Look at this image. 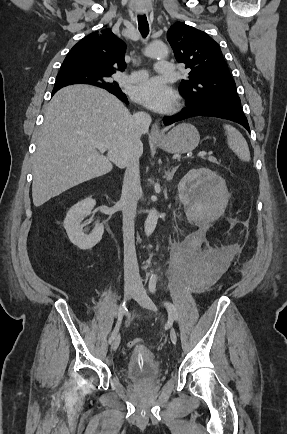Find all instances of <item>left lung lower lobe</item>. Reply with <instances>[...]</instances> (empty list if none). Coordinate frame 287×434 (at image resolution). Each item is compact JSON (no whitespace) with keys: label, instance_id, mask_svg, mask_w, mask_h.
Here are the masks:
<instances>
[{"label":"left lung lower lobe","instance_id":"0a47b994","mask_svg":"<svg viewBox=\"0 0 287 434\" xmlns=\"http://www.w3.org/2000/svg\"><path fill=\"white\" fill-rule=\"evenodd\" d=\"M195 116H211L232 120L241 124L250 132L249 124L242 111L240 102L186 103V107L180 113L164 117L163 122L165 125H170L174 122Z\"/></svg>","mask_w":287,"mask_h":434}]
</instances>
